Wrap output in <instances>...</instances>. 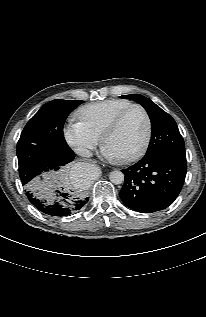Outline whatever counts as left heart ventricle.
<instances>
[{
	"instance_id": "left-heart-ventricle-1",
	"label": "left heart ventricle",
	"mask_w": 206,
	"mask_h": 317,
	"mask_svg": "<svg viewBox=\"0 0 206 317\" xmlns=\"http://www.w3.org/2000/svg\"><path fill=\"white\" fill-rule=\"evenodd\" d=\"M146 131V121L139 109L132 110L119 127L108 136L105 145L119 157L135 151L142 143Z\"/></svg>"
}]
</instances>
